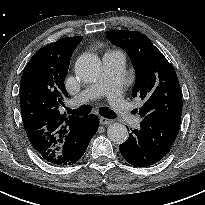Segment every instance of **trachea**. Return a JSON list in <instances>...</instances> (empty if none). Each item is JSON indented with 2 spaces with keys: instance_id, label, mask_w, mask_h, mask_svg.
Masks as SVG:
<instances>
[{
  "instance_id": "obj_1",
  "label": "trachea",
  "mask_w": 205,
  "mask_h": 205,
  "mask_svg": "<svg viewBox=\"0 0 205 205\" xmlns=\"http://www.w3.org/2000/svg\"><path fill=\"white\" fill-rule=\"evenodd\" d=\"M66 110L68 114L77 115V116H85L91 112L92 108L88 105H84L75 110H72L69 108H66ZM99 113L105 118L113 119L116 117V114L114 111L110 110L109 108H105V107L99 109Z\"/></svg>"
}]
</instances>
